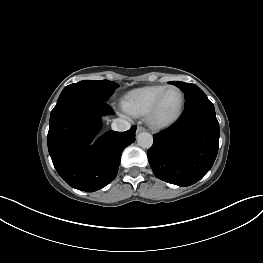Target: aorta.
<instances>
[{"label": "aorta", "mask_w": 263, "mask_h": 263, "mask_svg": "<svg viewBox=\"0 0 263 263\" xmlns=\"http://www.w3.org/2000/svg\"><path fill=\"white\" fill-rule=\"evenodd\" d=\"M137 143L142 148H150L153 144V136L148 132L139 133Z\"/></svg>", "instance_id": "obj_1"}]
</instances>
